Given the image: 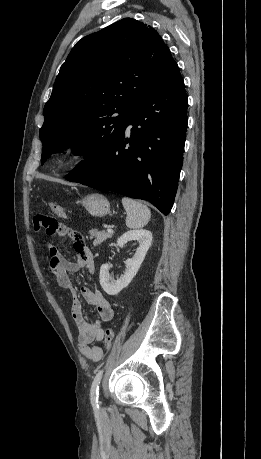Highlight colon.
Segmentation results:
<instances>
[{"label": "colon", "mask_w": 261, "mask_h": 459, "mask_svg": "<svg viewBox=\"0 0 261 459\" xmlns=\"http://www.w3.org/2000/svg\"><path fill=\"white\" fill-rule=\"evenodd\" d=\"M49 208H50L51 213L49 214L40 213L35 217L34 219L35 224L31 225L32 229H35L37 231L38 230L37 228L44 227L45 229L53 230V228L55 227L57 223L54 218V215L61 217V218L66 217V212L62 206L51 202L49 203ZM114 336H115L114 330L112 328H107L105 331V335H104L105 350L108 351L111 349L112 343L114 340Z\"/></svg>", "instance_id": "5ec220e1"}]
</instances>
